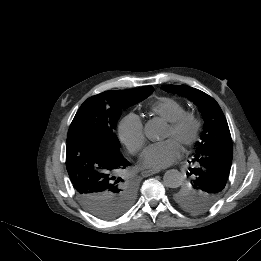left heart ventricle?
Segmentation results:
<instances>
[{"instance_id": "obj_1", "label": "left heart ventricle", "mask_w": 261, "mask_h": 261, "mask_svg": "<svg viewBox=\"0 0 261 261\" xmlns=\"http://www.w3.org/2000/svg\"><path fill=\"white\" fill-rule=\"evenodd\" d=\"M191 131V125L188 124L181 132H175L170 126H168L166 133L164 135L165 138L173 137L179 143H182V140L185 136H187Z\"/></svg>"}]
</instances>
